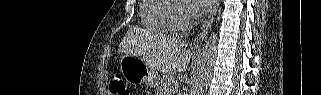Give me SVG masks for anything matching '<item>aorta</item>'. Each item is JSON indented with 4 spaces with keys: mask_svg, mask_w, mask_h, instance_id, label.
<instances>
[{
    "mask_svg": "<svg viewBox=\"0 0 321 95\" xmlns=\"http://www.w3.org/2000/svg\"><path fill=\"white\" fill-rule=\"evenodd\" d=\"M217 35L212 33L199 54L194 71V80L190 95H205L212 75L216 55Z\"/></svg>",
    "mask_w": 321,
    "mask_h": 95,
    "instance_id": "1",
    "label": "aorta"
}]
</instances>
